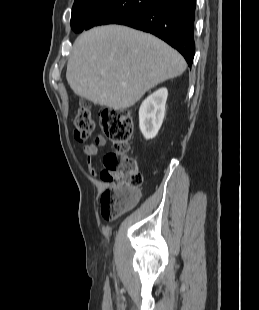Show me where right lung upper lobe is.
<instances>
[{
    "label": "right lung upper lobe",
    "mask_w": 259,
    "mask_h": 310,
    "mask_svg": "<svg viewBox=\"0 0 259 310\" xmlns=\"http://www.w3.org/2000/svg\"><path fill=\"white\" fill-rule=\"evenodd\" d=\"M99 1H102V0H75L72 10L76 8H81V7H85L88 5H92Z\"/></svg>",
    "instance_id": "obj_1"
}]
</instances>
